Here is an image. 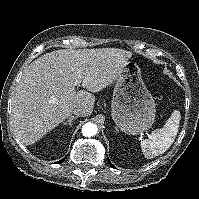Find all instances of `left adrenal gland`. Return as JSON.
Segmentation results:
<instances>
[{"instance_id": "left-adrenal-gland-1", "label": "left adrenal gland", "mask_w": 199, "mask_h": 199, "mask_svg": "<svg viewBox=\"0 0 199 199\" xmlns=\"http://www.w3.org/2000/svg\"><path fill=\"white\" fill-rule=\"evenodd\" d=\"M115 129H116V131L118 132V129H117V127H115Z\"/></svg>"}]
</instances>
